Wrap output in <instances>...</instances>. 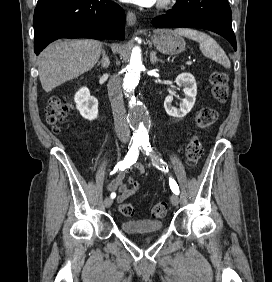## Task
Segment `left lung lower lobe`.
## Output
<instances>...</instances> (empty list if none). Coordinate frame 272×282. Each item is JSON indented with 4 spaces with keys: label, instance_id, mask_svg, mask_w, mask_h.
<instances>
[{
    "label": "left lung lower lobe",
    "instance_id": "left-lung-lower-lobe-1",
    "mask_svg": "<svg viewBox=\"0 0 272 282\" xmlns=\"http://www.w3.org/2000/svg\"><path fill=\"white\" fill-rule=\"evenodd\" d=\"M152 24L158 28L193 27L211 30L237 49L227 0H177L172 12L156 17Z\"/></svg>",
    "mask_w": 272,
    "mask_h": 282
}]
</instances>
